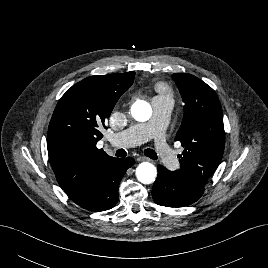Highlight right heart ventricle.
I'll return each instance as SVG.
<instances>
[{"mask_svg": "<svg viewBox=\"0 0 268 268\" xmlns=\"http://www.w3.org/2000/svg\"><path fill=\"white\" fill-rule=\"evenodd\" d=\"M156 90L158 91L161 97L170 98L172 96V91L166 84L163 83L158 84Z\"/></svg>", "mask_w": 268, "mask_h": 268, "instance_id": "1", "label": "right heart ventricle"}]
</instances>
